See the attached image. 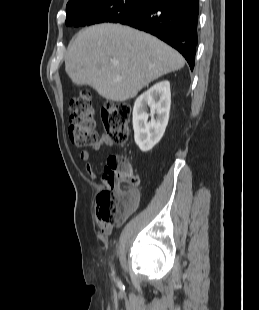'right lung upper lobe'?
<instances>
[{"mask_svg": "<svg viewBox=\"0 0 259 310\" xmlns=\"http://www.w3.org/2000/svg\"><path fill=\"white\" fill-rule=\"evenodd\" d=\"M101 0H69L66 9L76 8L84 5H89Z\"/></svg>", "mask_w": 259, "mask_h": 310, "instance_id": "cb5924a9", "label": "right lung upper lobe"}]
</instances>
